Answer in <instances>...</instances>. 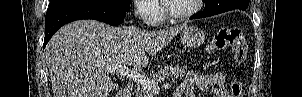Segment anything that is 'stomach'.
<instances>
[{"label": "stomach", "instance_id": "0dacf381", "mask_svg": "<svg viewBox=\"0 0 302 97\" xmlns=\"http://www.w3.org/2000/svg\"><path fill=\"white\" fill-rule=\"evenodd\" d=\"M181 43L188 48H196L203 44L205 35L202 29L196 26H185L180 34Z\"/></svg>", "mask_w": 302, "mask_h": 97}]
</instances>
